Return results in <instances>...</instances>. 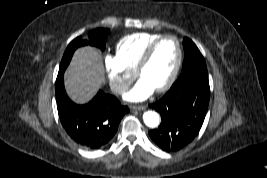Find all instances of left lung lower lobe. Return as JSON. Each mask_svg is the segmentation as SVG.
Instances as JSON below:
<instances>
[{
	"mask_svg": "<svg viewBox=\"0 0 267 178\" xmlns=\"http://www.w3.org/2000/svg\"><path fill=\"white\" fill-rule=\"evenodd\" d=\"M209 99L207 80L187 79L174 83L159 101L150 105L162 119L157 128L149 131L152 141L166 152L188 145L202 127Z\"/></svg>",
	"mask_w": 267,
	"mask_h": 178,
	"instance_id": "0a47b994",
	"label": "left lung lower lobe"
}]
</instances>
